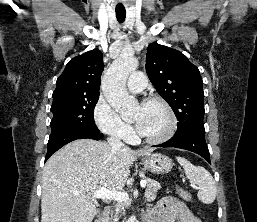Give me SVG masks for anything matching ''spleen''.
I'll use <instances>...</instances> for the list:
<instances>
[{
  "mask_svg": "<svg viewBox=\"0 0 257 222\" xmlns=\"http://www.w3.org/2000/svg\"><path fill=\"white\" fill-rule=\"evenodd\" d=\"M177 161L183 166L186 177L192 184L198 185V198L205 204H211L216 198V183L212 175L203 167L194 166L187 159L177 157Z\"/></svg>",
  "mask_w": 257,
  "mask_h": 222,
  "instance_id": "3e777b00",
  "label": "spleen"
}]
</instances>
